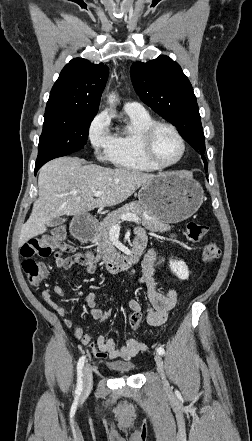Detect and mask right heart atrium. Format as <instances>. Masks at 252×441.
<instances>
[{
	"mask_svg": "<svg viewBox=\"0 0 252 441\" xmlns=\"http://www.w3.org/2000/svg\"><path fill=\"white\" fill-rule=\"evenodd\" d=\"M87 135L97 159L112 161L115 151V136L111 131L110 119L106 112H100L92 119Z\"/></svg>",
	"mask_w": 252,
	"mask_h": 441,
	"instance_id": "1",
	"label": "right heart atrium"
}]
</instances>
